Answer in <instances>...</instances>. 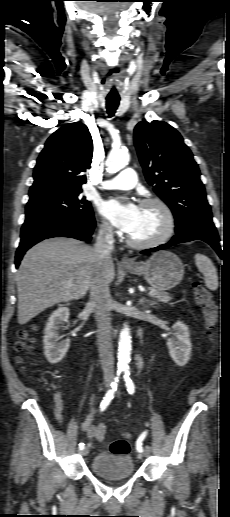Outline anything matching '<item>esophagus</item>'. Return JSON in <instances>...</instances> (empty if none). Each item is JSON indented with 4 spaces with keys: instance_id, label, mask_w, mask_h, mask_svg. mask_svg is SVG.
<instances>
[{
    "instance_id": "34e87169",
    "label": "esophagus",
    "mask_w": 230,
    "mask_h": 517,
    "mask_svg": "<svg viewBox=\"0 0 230 517\" xmlns=\"http://www.w3.org/2000/svg\"><path fill=\"white\" fill-rule=\"evenodd\" d=\"M121 264L124 266H129V265H133V261L130 260L128 257L124 256L121 259Z\"/></svg>"
}]
</instances>
